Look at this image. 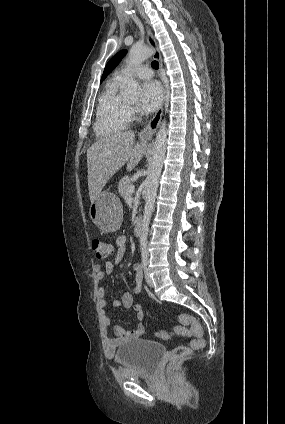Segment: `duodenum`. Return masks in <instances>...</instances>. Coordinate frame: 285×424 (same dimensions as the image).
Segmentation results:
<instances>
[{"mask_svg":"<svg viewBox=\"0 0 285 424\" xmlns=\"http://www.w3.org/2000/svg\"><path fill=\"white\" fill-rule=\"evenodd\" d=\"M141 224H142V219L139 218L135 227H134V235L136 237H139L141 235Z\"/></svg>","mask_w":285,"mask_h":424,"instance_id":"obj_1","label":"duodenum"}]
</instances>
